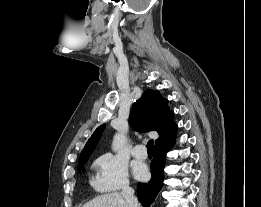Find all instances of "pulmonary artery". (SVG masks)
<instances>
[{
  "instance_id": "1",
  "label": "pulmonary artery",
  "mask_w": 261,
  "mask_h": 207,
  "mask_svg": "<svg viewBox=\"0 0 261 207\" xmlns=\"http://www.w3.org/2000/svg\"><path fill=\"white\" fill-rule=\"evenodd\" d=\"M132 154L138 159H145L147 157V151L142 144H138L133 148Z\"/></svg>"
}]
</instances>
